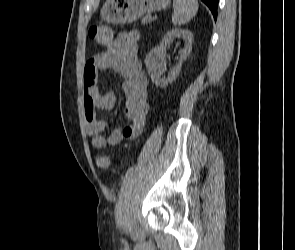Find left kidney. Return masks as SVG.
Instances as JSON below:
<instances>
[{
    "label": "left kidney",
    "mask_w": 295,
    "mask_h": 250,
    "mask_svg": "<svg viewBox=\"0 0 295 250\" xmlns=\"http://www.w3.org/2000/svg\"><path fill=\"white\" fill-rule=\"evenodd\" d=\"M174 38L182 39L185 42V48L179 57V64L174 67L167 77H161L166 71V47ZM193 35L189 30L173 29L168 31L159 46L152 49L146 56L145 64L152 82L158 87H166L172 83L181 71L182 62L187 59L192 49Z\"/></svg>",
    "instance_id": "5707ae66"
}]
</instances>
